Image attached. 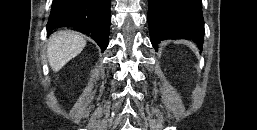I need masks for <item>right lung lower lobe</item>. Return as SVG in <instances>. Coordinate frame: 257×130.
<instances>
[{"instance_id":"1","label":"right lung lower lobe","mask_w":257,"mask_h":130,"mask_svg":"<svg viewBox=\"0 0 257 130\" xmlns=\"http://www.w3.org/2000/svg\"><path fill=\"white\" fill-rule=\"evenodd\" d=\"M111 22L110 0H53L47 32L73 27L105 50Z\"/></svg>"}]
</instances>
